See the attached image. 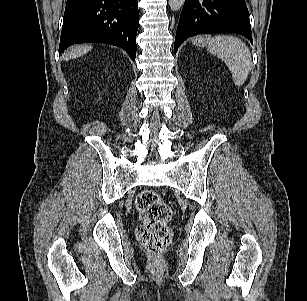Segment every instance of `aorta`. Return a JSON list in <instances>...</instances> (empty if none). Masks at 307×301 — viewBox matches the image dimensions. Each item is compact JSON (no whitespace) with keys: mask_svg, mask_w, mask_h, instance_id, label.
<instances>
[{"mask_svg":"<svg viewBox=\"0 0 307 301\" xmlns=\"http://www.w3.org/2000/svg\"><path fill=\"white\" fill-rule=\"evenodd\" d=\"M184 2L185 0H169V6L172 11H177L183 6Z\"/></svg>","mask_w":307,"mask_h":301,"instance_id":"aorta-1","label":"aorta"}]
</instances>
